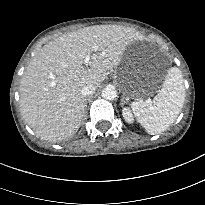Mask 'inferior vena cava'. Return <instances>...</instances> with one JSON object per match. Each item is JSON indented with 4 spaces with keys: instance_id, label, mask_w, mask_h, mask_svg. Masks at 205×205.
Wrapping results in <instances>:
<instances>
[{
    "instance_id": "obj_1",
    "label": "inferior vena cava",
    "mask_w": 205,
    "mask_h": 205,
    "mask_svg": "<svg viewBox=\"0 0 205 205\" xmlns=\"http://www.w3.org/2000/svg\"><path fill=\"white\" fill-rule=\"evenodd\" d=\"M96 87L92 84L86 85L82 88V95L83 96H89L93 95L95 93Z\"/></svg>"
}]
</instances>
